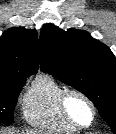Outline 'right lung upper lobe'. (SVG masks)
Returning <instances> with one entry per match:
<instances>
[{
	"label": "right lung upper lobe",
	"mask_w": 116,
	"mask_h": 134,
	"mask_svg": "<svg viewBox=\"0 0 116 134\" xmlns=\"http://www.w3.org/2000/svg\"><path fill=\"white\" fill-rule=\"evenodd\" d=\"M40 41L33 29L14 27L0 37V86L25 82L38 70Z\"/></svg>",
	"instance_id": "cb5924a9"
}]
</instances>
